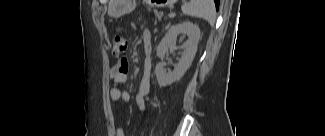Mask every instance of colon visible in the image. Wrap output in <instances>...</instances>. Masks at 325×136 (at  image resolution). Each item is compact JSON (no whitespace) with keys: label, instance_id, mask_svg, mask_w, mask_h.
<instances>
[{"label":"colon","instance_id":"5ec220e1","mask_svg":"<svg viewBox=\"0 0 325 136\" xmlns=\"http://www.w3.org/2000/svg\"><path fill=\"white\" fill-rule=\"evenodd\" d=\"M127 49V41L121 34H117L113 40V54L116 56L121 55Z\"/></svg>","mask_w":325,"mask_h":136}]
</instances>
